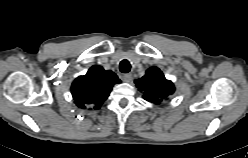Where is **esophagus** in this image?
<instances>
[{
  "label": "esophagus",
  "instance_id": "34e87169",
  "mask_svg": "<svg viewBox=\"0 0 248 158\" xmlns=\"http://www.w3.org/2000/svg\"><path fill=\"white\" fill-rule=\"evenodd\" d=\"M132 79H133V77H132V74H131V73L123 74V80H124L125 82H131Z\"/></svg>",
  "mask_w": 248,
  "mask_h": 158
}]
</instances>
